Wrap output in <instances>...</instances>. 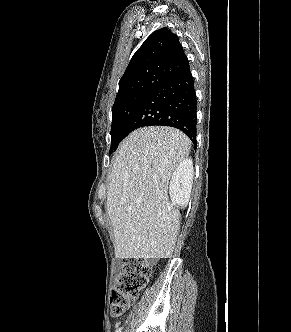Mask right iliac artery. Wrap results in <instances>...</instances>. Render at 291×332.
I'll return each mask as SVG.
<instances>
[{
  "label": "right iliac artery",
  "mask_w": 291,
  "mask_h": 332,
  "mask_svg": "<svg viewBox=\"0 0 291 332\" xmlns=\"http://www.w3.org/2000/svg\"><path fill=\"white\" fill-rule=\"evenodd\" d=\"M116 332H121V328H118V329L116 330Z\"/></svg>",
  "instance_id": "obj_1"
}]
</instances>
